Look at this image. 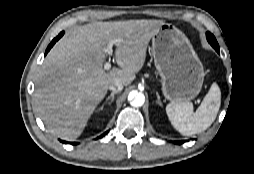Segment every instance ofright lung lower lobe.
I'll use <instances>...</instances> for the list:
<instances>
[{
    "label": "right lung lower lobe",
    "instance_id": "right-lung-lower-lobe-1",
    "mask_svg": "<svg viewBox=\"0 0 254 174\" xmlns=\"http://www.w3.org/2000/svg\"><path fill=\"white\" fill-rule=\"evenodd\" d=\"M64 32H61L56 38H54L52 40V42L49 44L48 48L46 49V52H45V55L49 52V50L52 48V46L55 44V42L57 40H59L62 36H63ZM107 132H105L104 134H102L99 138L103 137ZM61 142H64L61 140ZM65 143V142H64ZM69 144H72V145H76L78 144L77 142H67Z\"/></svg>",
    "mask_w": 254,
    "mask_h": 174
}]
</instances>
